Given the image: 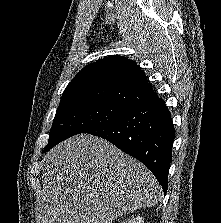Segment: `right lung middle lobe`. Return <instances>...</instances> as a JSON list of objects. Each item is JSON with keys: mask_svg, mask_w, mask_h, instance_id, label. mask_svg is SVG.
<instances>
[{"mask_svg": "<svg viewBox=\"0 0 221 223\" xmlns=\"http://www.w3.org/2000/svg\"><path fill=\"white\" fill-rule=\"evenodd\" d=\"M134 107L128 103L94 97L60 102L43 152L73 135L110 122Z\"/></svg>", "mask_w": 221, "mask_h": 223, "instance_id": "dd1d6c3e", "label": "right lung middle lobe"}]
</instances>
